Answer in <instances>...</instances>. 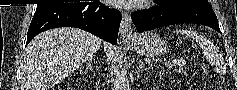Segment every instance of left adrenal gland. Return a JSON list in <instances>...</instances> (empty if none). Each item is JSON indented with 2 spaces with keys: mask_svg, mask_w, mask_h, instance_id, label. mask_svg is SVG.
<instances>
[{
  "mask_svg": "<svg viewBox=\"0 0 237 90\" xmlns=\"http://www.w3.org/2000/svg\"><path fill=\"white\" fill-rule=\"evenodd\" d=\"M137 68H138L139 74H141V72H144L145 64H144L143 60H139V66H137Z\"/></svg>",
  "mask_w": 237,
  "mask_h": 90,
  "instance_id": "obj_1",
  "label": "left adrenal gland"
}]
</instances>
